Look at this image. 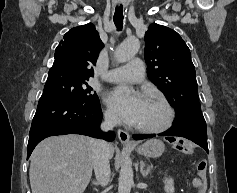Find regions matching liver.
Returning <instances> with one entry per match:
<instances>
[{"label": "liver", "mask_w": 237, "mask_h": 193, "mask_svg": "<svg viewBox=\"0 0 237 193\" xmlns=\"http://www.w3.org/2000/svg\"><path fill=\"white\" fill-rule=\"evenodd\" d=\"M94 141L75 134L41 141L31 155L32 193H83L92 176ZM113 154L111 146L110 158Z\"/></svg>", "instance_id": "obj_1"}]
</instances>
